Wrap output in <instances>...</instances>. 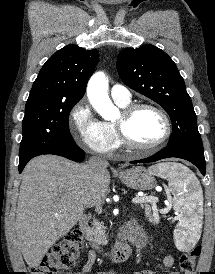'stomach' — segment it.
Instances as JSON below:
<instances>
[{"label":"stomach","instance_id":"stomach-1","mask_svg":"<svg viewBox=\"0 0 215 274\" xmlns=\"http://www.w3.org/2000/svg\"><path fill=\"white\" fill-rule=\"evenodd\" d=\"M119 178L125 185L136 190H150L156 185L154 174L142 166L121 171Z\"/></svg>","mask_w":215,"mask_h":274}]
</instances>
